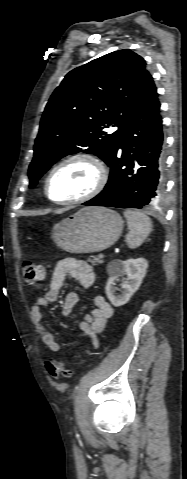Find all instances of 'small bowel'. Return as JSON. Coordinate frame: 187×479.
Here are the masks:
<instances>
[{
    "label": "small bowel",
    "mask_w": 187,
    "mask_h": 479,
    "mask_svg": "<svg viewBox=\"0 0 187 479\" xmlns=\"http://www.w3.org/2000/svg\"><path fill=\"white\" fill-rule=\"evenodd\" d=\"M67 277L73 278L84 289L90 288L95 280L92 267L85 261L75 258L62 259L53 270L46 292L37 296L31 306V317L38 326L42 342L54 353L59 352L61 347L54 334L45 325L42 309L58 299ZM79 299L80 296L75 291L66 295L62 306L63 316L69 317L71 315ZM93 302L94 309L91 313L84 315L79 322V328L90 338L92 346L97 348V335L105 328L108 320L112 317L113 308L100 294L94 296Z\"/></svg>",
    "instance_id": "obj_1"
}]
</instances>
